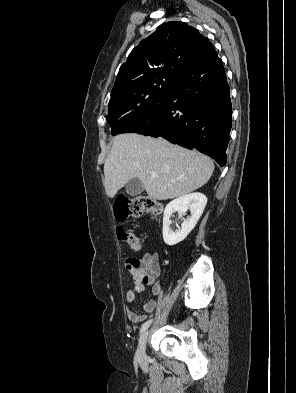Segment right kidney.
Segmentation results:
<instances>
[{"label": "right kidney", "instance_id": "1", "mask_svg": "<svg viewBox=\"0 0 296 393\" xmlns=\"http://www.w3.org/2000/svg\"><path fill=\"white\" fill-rule=\"evenodd\" d=\"M206 204V196L199 192L187 194L171 201L164 210V242L169 246H173L183 241L196 226L199 218L204 211ZM188 209L190 210L191 216L186 220H183L181 224V229L175 232L172 231L170 229V217L172 216V214L177 211L180 215H185Z\"/></svg>", "mask_w": 296, "mask_h": 393}]
</instances>
